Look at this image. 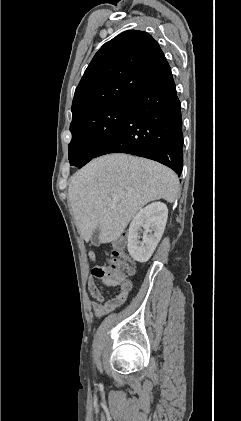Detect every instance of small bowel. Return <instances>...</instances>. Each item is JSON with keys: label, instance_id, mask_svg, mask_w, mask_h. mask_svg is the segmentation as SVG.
<instances>
[{"label": "small bowel", "instance_id": "obj_1", "mask_svg": "<svg viewBox=\"0 0 241 421\" xmlns=\"http://www.w3.org/2000/svg\"><path fill=\"white\" fill-rule=\"evenodd\" d=\"M89 258L95 262L96 255L94 252H89ZM103 283L107 286H115L106 281ZM87 287L91 294V296L95 299V301L90 302V307L94 311V313L100 317L115 308L121 306L127 299L128 294L131 290V282L128 281L126 285L119 286V290L113 297L106 298L100 291L98 285L96 284L95 280L92 277H89L87 280Z\"/></svg>", "mask_w": 241, "mask_h": 421}]
</instances>
